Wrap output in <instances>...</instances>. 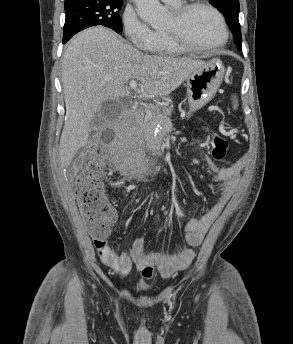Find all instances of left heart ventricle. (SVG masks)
Returning <instances> with one entry per match:
<instances>
[{
    "label": "left heart ventricle",
    "mask_w": 293,
    "mask_h": 344,
    "mask_svg": "<svg viewBox=\"0 0 293 344\" xmlns=\"http://www.w3.org/2000/svg\"><path fill=\"white\" fill-rule=\"evenodd\" d=\"M175 28H179L185 38L197 46H209L222 38L221 27L216 17L201 7L190 10L180 23H177L171 13L164 31Z\"/></svg>",
    "instance_id": "left-heart-ventricle-1"
}]
</instances>
